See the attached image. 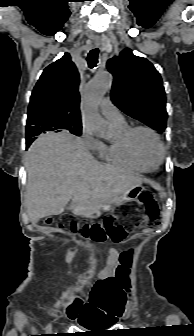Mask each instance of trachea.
I'll return each mask as SVG.
<instances>
[{"mask_svg":"<svg viewBox=\"0 0 194 336\" xmlns=\"http://www.w3.org/2000/svg\"><path fill=\"white\" fill-rule=\"evenodd\" d=\"M98 54H99V49L95 48L92 49L87 57L88 65L90 68H94L96 64L98 63Z\"/></svg>","mask_w":194,"mask_h":336,"instance_id":"3493384b","label":"trachea"}]
</instances>
